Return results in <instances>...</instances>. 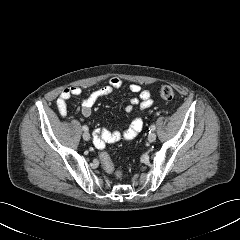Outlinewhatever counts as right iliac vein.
Segmentation results:
<instances>
[{
  "instance_id": "1",
  "label": "right iliac vein",
  "mask_w": 240,
  "mask_h": 240,
  "mask_svg": "<svg viewBox=\"0 0 240 240\" xmlns=\"http://www.w3.org/2000/svg\"><path fill=\"white\" fill-rule=\"evenodd\" d=\"M82 137H83V139H84L85 141H89L90 138H91L89 132H87V131H85V132L83 133Z\"/></svg>"
}]
</instances>
